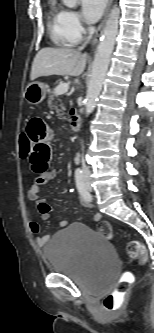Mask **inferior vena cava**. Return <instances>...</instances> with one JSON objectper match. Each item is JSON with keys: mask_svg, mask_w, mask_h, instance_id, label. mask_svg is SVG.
<instances>
[{"mask_svg": "<svg viewBox=\"0 0 154 333\" xmlns=\"http://www.w3.org/2000/svg\"><path fill=\"white\" fill-rule=\"evenodd\" d=\"M88 30H89L88 40L85 44L82 45L81 49H83L85 47V45L88 43V41H90V39L92 38V35L95 32L94 27H89ZM82 172L85 173V174H89V168L85 165V161H84L83 157H82Z\"/></svg>", "mask_w": 154, "mask_h": 333, "instance_id": "inferior-vena-cava-1", "label": "inferior vena cava"}]
</instances>
